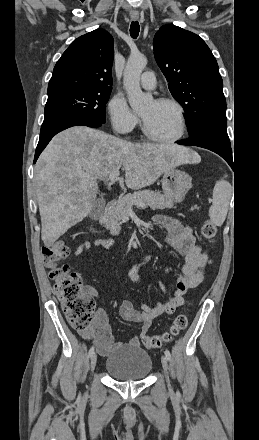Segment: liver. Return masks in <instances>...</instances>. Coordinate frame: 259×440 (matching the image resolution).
<instances>
[{
  "mask_svg": "<svg viewBox=\"0 0 259 440\" xmlns=\"http://www.w3.org/2000/svg\"><path fill=\"white\" fill-rule=\"evenodd\" d=\"M199 162L197 153L179 145L131 143L86 126L60 132L35 166L44 245L52 246L91 212L97 182L110 173L122 168L126 186L137 190L152 185L170 169Z\"/></svg>",
  "mask_w": 259,
  "mask_h": 440,
  "instance_id": "6515ba94",
  "label": "liver"
}]
</instances>
